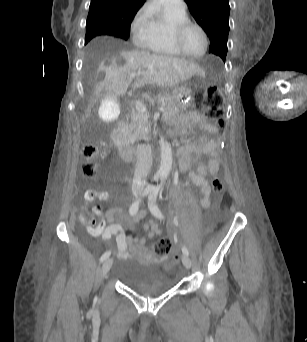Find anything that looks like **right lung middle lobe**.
<instances>
[{"label": "right lung middle lobe", "instance_id": "right-lung-middle-lobe-1", "mask_svg": "<svg viewBox=\"0 0 307 342\" xmlns=\"http://www.w3.org/2000/svg\"><path fill=\"white\" fill-rule=\"evenodd\" d=\"M98 35H112L127 40L129 37V32L109 30L104 27L97 26L93 23H89L87 21L85 44L89 42L93 37Z\"/></svg>", "mask_w": 307, "mask_h": 342}]
</instances>
